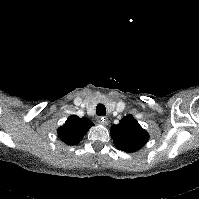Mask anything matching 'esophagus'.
I'll return each instance as SVG.
<instances>
[{
  "instance_id": "34e87169",
  "label": "esophagus",
  "mask_w": 199,
  "mask_h": 199,
  "mask_svg": "<svg viewBox=\"0 0 199 199\" xmlns=\"http://www.w3.org/2000/svg\"><path fill=\"white\" fill-rule=\"evenodd\" d=\"M98 122L102 125H105V126L108 125V123H109L108 119L104 116L100 117Z\"/></svg>"
}]
</instances>
